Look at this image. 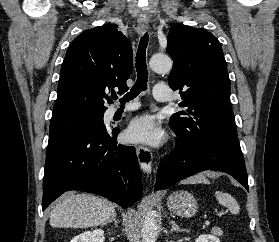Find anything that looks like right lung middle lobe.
Returning <instances> with one entry per match:
<instances>
[{"label": "right lung middle lobe", "instance_id": "right-lung-middle-lobe-1", "mask_svg": "<svg viewBox=\"0 0 279 242\" xmlns=\"http://www.w3.org/2000/svg\"><path fill=\"white\" fill-rule=\"evenodd\" d=\"M103 112L77 111L52 116L49 142L76 133H92L104 127Z\"/></svg>", "mask_w": 279, "mask_h": 242}]
</instances>
